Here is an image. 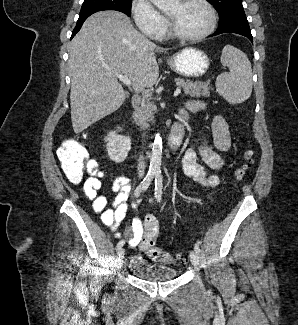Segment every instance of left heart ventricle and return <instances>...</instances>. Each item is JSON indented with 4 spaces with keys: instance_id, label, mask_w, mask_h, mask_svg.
Wrapping results in <instances>:
<instances>
[{
    "instance_id": "obj_1",
    "label": "left heart ventricle",
    "mask_w": 298,
    "mask_h": 325,
    "mask_svg": "<svg viewBox=\"0 0 298 325\" xmlns=\"http://www.w3.org/2000/svg\"><path fill=\"white\" fill-rule=\"evenodd\" d=\"M162 9L169 14L175 30L185 36L196 35L207 25L205 10L192 0L162 1Z\"/></svg>"
}]
</instances>
